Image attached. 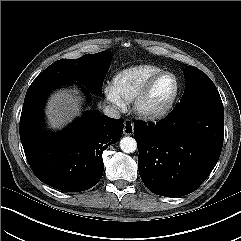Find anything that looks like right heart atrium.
I'll use <instances>...</instances> for the list:
<instances>
[{"mask_svg":"<svg viewBox=\"0 0 241 241\" xmlns=\"http://www.w3.org/2000/svg\"><path fill=\"white\" fill-rule=\"evenodd\" d=\"M104 94H105L106 100L112 105L118 108L124 107L123 100L120 98V96L117 94V92L114 90L112 86L110 85L106 86L104 88Z\"/></svg>","mask_w":241,"mask_h":241,"instance_id":"d8ad5b80","label":"right heart atrium"}]
</instances>
